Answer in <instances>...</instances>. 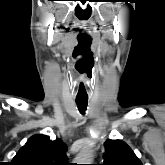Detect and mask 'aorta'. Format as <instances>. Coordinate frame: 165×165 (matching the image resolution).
Returning <instances> with one entry per match:
<instances>
[{"mask_svg":"<svg viewBox=\"0 0 165 165\" xmlns=\"http://www.w3.org/2000/svg\"><path fill=\"white\" fill-rule=\"evenodd\" d=\"M93 160V154L90 149L82 150L75 158L77 164H91Z\"/></svg>","mask_w":165,"mask_h":165,"instance_id":"obj_1","label":"aorta"}]
</instances>
